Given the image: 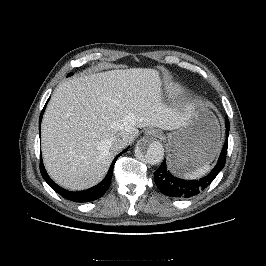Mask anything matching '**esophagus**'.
<instances>
[{"label":"esophagus","mask_w":266,"mask_h":266,"mask_svg":"<svg viewBox=\"0 0 266 266\" xmlns=\"http://www.w3.org/2000/svg\"><path fill=\"white\" fill-rule=\"evenodd\" d=\"M145 134L148 136L157 137V138L162 136V132L156 128H151V129L146 130Z\"/></svg>","instance_id":"1"}]
</instances>
